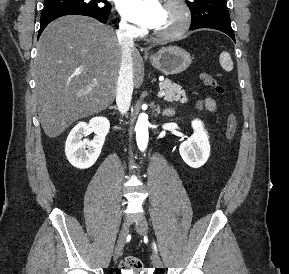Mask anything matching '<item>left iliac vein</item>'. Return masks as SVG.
<instances>
[{
    "mask_svg": "<svg viewBox=\"0 0 289 274\" xmlns=\"http://www.w3.org/2000/svg\"><path fill=\"white\" fill-rule=\"evenodd\" d=\"M135 229H136L138 234H140L142 236L147 235V233H148L147 221L144 218H141L138 221V223L136 224ZM152 264L156 268H162L163 267V262H162L161 258L156 253H153V255H152Z\"/></svg>",
    "mask_w": 289,
    "mask_h": 274,
    "instance_id": "1",
    "label": "left iliac vein"
}]
</instances>
